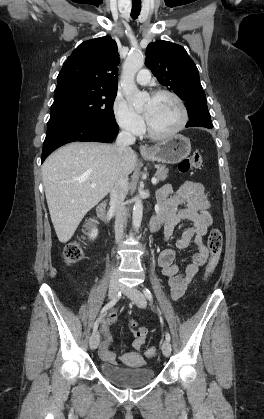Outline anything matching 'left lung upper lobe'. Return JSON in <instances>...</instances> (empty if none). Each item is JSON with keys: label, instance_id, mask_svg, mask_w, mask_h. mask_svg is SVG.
<instances>
[{"label": "left lung upper lobe", "instance_id": "obj_1", "mask_svg": "<svg viewBox=\"0 0 264 419\" xmlns=\"http://www.w3.org/2000/svg\"><path fill=\"white\" fill-rule=\"evenodd\" d=\"M146 66L163 86L185 102L188 115L205 112L210 116L198 69L182 46L162 40L150 43Z\"/></svg>", "mask_w": 264, "mask_h": 419}]
</instances>
